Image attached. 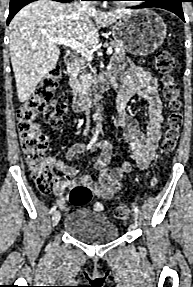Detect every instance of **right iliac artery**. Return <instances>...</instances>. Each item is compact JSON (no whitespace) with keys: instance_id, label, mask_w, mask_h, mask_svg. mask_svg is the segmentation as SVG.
I'll return each mask as SVG.
<instances>
[{"instance_id":"82829eb1","label":"right iliac artery","mask_w":193,"mask_h":287,"mask_svg":"<svg viewBox=\"0 0 193 287\" xmlns=\"http://www.w3.org/2000/svg\"><path fill=\"white\" fill-rule=\"evenodd\" d=\"M97 137H98V133H96L93 138L91 139V141L89 142L88 146H87V149H89L97 140ZM57 206L54 205L51 210H50V213H53L55 210H56Z\"/></svg>"}]
</instances>
